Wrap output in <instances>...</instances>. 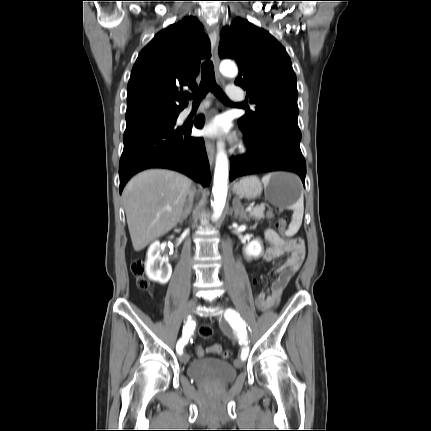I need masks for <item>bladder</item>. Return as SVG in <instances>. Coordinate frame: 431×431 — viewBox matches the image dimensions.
Masks as SVG:
<instances>
[{
	"label": "bladder",
	"mask_w": 431,
	"mask_h": 431,
	"mask_svg": "<svg viewBox=\"0 0 431 431\" xmlns=\"http://www.w3.org/2000/svg\"><path fill=\"white\" fill-rule=\"evenodd\" d=\"M187 375L197 383L219 387L231 384L237 377V369L225 360L202 358L190 363Z\"/></svg>",
	"instance_id": "bladder-1"
}]
</instances>
